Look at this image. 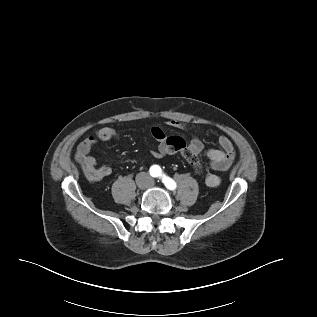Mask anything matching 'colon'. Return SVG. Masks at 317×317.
Returning <instances> with one entry per match:
<instances>
[{"label":"colon","instance_id":"1","mask_svg":"<svg viewBox=\"0 0 317 317\" xmlns=\"http://www.w3.org/2000/svg\"><path fill=\"white\" fill-rule=\"evenodd\" d=\"M169 141H171V139L167 140V142H169ZM176 150H178L177 152L182 154L187 159L188 163L191 165V167L193 168V170L196 173L201 172V164H200V161L196 155L191 154L186 149L176 148ZM84 171L88 176H92V171L89 170L88 168L84 167Z\"/></svg>","mask_w":317,"mask_h":317}]
</instances>
